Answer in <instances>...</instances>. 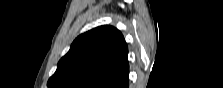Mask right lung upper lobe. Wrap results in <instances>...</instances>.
Here are the masks:
<instances>
[{
  "instance_id": "cb5924a9",
  "label": "right lung upper lobe",
  "mask_w": 223,
  "mask_h": 88,
  "mask_svg": "<svg viewBox=\"0 0 223 88\" xmlns=\"http://www.w3.org/2000/svg\"><path fill=\"white\" fill-rule=\"evenodd\" d=\"M128 47L112 26H99L80 36L59 61L49 88H128Z\"/></svg>"
}]
</instances>
